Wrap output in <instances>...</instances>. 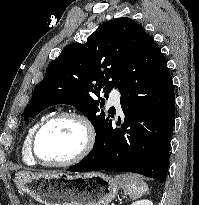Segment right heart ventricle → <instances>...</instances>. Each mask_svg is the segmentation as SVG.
I'll return each mask as SVG.
<instances>
[{"mask_svg":"<svg viewBox=\"0 0 199 205\" xmlns=\"http://www.w3.org/2000/svg\"><path fill=\"white\" fill-rule=\"evenodd\" d=\"M50 116L49 113L43 114L28 130L24 141L21 146V157L22 160L28 164V165H35V161L33 160L31 154H30V139L35 132V130L38 128V126L48 117Z\"/></svg>","mask_w":199,"mask_h":205,"instance_id":"e07e8e85","label":"right heart ventricle"}]
</instances>
